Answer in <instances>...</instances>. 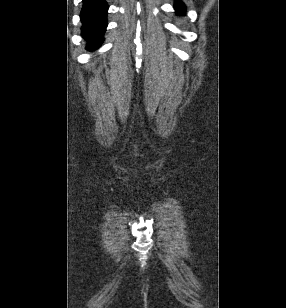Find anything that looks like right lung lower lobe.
Listing matches in <instances>:
<instances>
[{
  "mask_svg": "<svg viewBox=\"0 0 286 308\" xmlns=\"http://www.w3.org/2000/svg\"><path fill=\"white\" fill-rule=\"evenodd\" d=\"M83 2L80 14L83 23L81 34L88 41L89 49H97L104 40L108 5L104 0H83Z\"/></svg>",
  "mask_w": 286,
  "mask_h": 308,
  "instance_id": "right-lung-lower-lobe-1",
  "label": "right lung lower lobe"
}]
</instances>
